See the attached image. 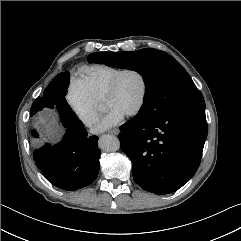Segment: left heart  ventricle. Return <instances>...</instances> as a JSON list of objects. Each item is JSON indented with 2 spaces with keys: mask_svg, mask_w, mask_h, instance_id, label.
Wrapping results in <instances>:
<instances>
[{
  "mask_svg": "<svg viewBox=\"0 0 241 241\" xmlns=\"http://www.w3.org/2000/svg\"><path fill=\"white\" fill-rule=\"evenodd\" d=\"M142 93L140 77L133 72L125 74L119 81L115 92L104 102V107L116 108L125 115L137 105Z\"/></svg>",
  "mask_w": 241,
  "mask_h": 241,
  "instance_id": "1",
  "label": "left heart ventricle"
}]
</instances>
